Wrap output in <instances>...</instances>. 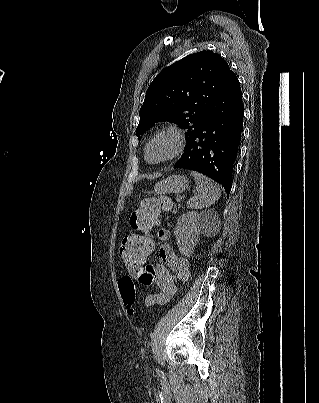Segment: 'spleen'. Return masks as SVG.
Here are the masks:
<instances>
[{
  "label": "spleen",
  "mask_w": 319,
  "mask_h": 403,
  "mask_svg": "<svg viewBox=\"0 0 319 403\" xmlns=\"http://www.w3.org/2000/svg\"><path fill=\"white\" fill-rule=\"evenodd\" d=\"M196 182V190L198 195L193 196L187 202L190 209H203L209 207L221 196L219 186L212 180L198 172H191Z\"/></svg>",
  "instance_id": "obj_1"
}]
</instances>
